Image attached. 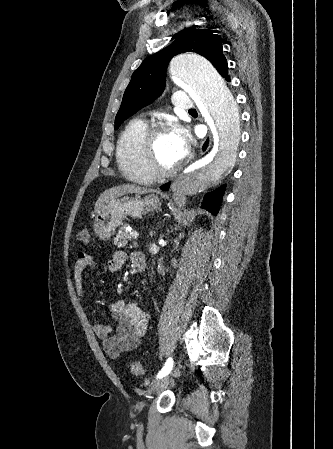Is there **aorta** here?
Returning <instances> with one entry per match:
<instances>
[{
    "label": "aorta",
    "mask_w": 333,
    "mask_h": 449,
    "mask_svg": "<svg viewBox=\"0 0 333 449\" xmlns=\"http://www.w3.org/2000/svg\"><path fill=\"white\" fill-rule=\"evenodd\" d=\"M169 71L174 82L199 102L204 117L212 122L219 137L215 151L196 161L171 183L174 200L182 207L188 196L217 186L227 167L234 163L239 120L231 91L203 56L193 52L178 54L170 61Z\"/></svg>",
    "instance_id": "1"
}]
</instances>
